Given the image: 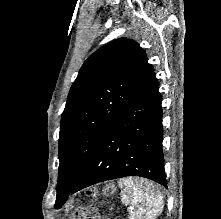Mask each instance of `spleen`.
Masks as SVG:
<instances>
[{"label":"spleen","mask_w":221,"mask_h":219,"mask_svg":"<svg viewBox=\"0 0 221 219\" xmlns=\"http://www.w3.org/2000/svg\"><path fill=\"white\" fill-rule=\"evenodd\" d=\"M122 202L129 205V219H155L163 210V196L152 182L138 178L119 180Z\"/></svg>","instance_id":"obj_1"}]
</instances>
